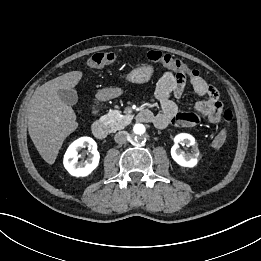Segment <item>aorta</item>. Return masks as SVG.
I'll return each mask as SVG.
<instances>
[{"instance_id":"obj_1","label":"aorta","mask_w":261,"mask_h":261,"mask_svg":"<svg viewBox=\"0 0 261 261\" xmlns=\"http://www.w3.org/2000/svg\"><path fill=\"white\" fill-rule=\"evenodd\" d=\"M146 128L143 124H135L133 127V134L138 139L141 140L144 138Z\"/></svg>"}]
</instances>
